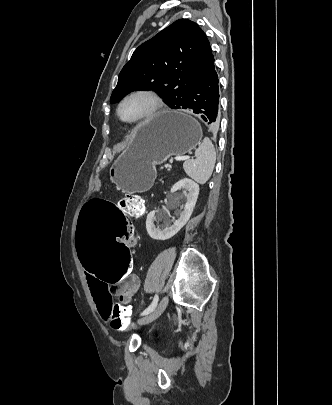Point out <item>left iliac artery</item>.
<instances>
[{
	"label": "left iliac artery",
	"mask_w": 332,
	"mask_h": 405,
	"mask_svg": "<svg viewBox=\"0 0 332 405\" xmlns=\"http://www.w3.org/2000/svg\"><path fill=\"white\" fill-rule=\"evenodd\" d=\"M158 300H159V297L156 294L154 296L153 301L151 302V304L141 313V316L150 314L156 308Z\"/></svg>",
	"instance_id": "left-iliac-artery-1"
}]
</instances>
